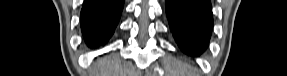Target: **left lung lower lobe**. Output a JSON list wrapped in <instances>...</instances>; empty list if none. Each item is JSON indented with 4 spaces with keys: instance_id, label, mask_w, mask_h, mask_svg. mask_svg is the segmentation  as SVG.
<instances>
[{
    "instance_id": "0a47b994",
    "label": "left lung lower lobe",
    "mask_w": 287,
    "mask_h": 76,
    "mask_svg": "<svg viewBox=\"0 0 287 76\" xmlns=\"http://www.w3.org/2000/svg\"><path fill=\"white\" fill-rule=\"evenodd\" d=\"M166 14L181 50L190 56L202 54L213 25L210 0H166Z\"/></svg>"
}]
</instances>
